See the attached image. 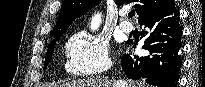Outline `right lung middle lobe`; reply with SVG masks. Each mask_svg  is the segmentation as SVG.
I'll list each match as a JSON object with an SVG mask.
<instances>
[{
	"label": "right lung middle lobe",
	"mask_w": 205,
	"mask_h": 87,
	"mask_svg": "<svg viewBox=\"0 0 205 87\" xmlns=\"http://www.w3.org/2000/svg\"><path fill=\"white\" fill-rule=\"evenodd\" d=\"M57 38H59V37H57ZM55 43H56V40H53L52 44L48 47V50H47V53H46L45 62H44V70L46 69L47 65L49 64V62H50V60L52 58V54H53L54 48H55Z\"/></svg>",
	"instance_id": "dd1d6c3e"
}]
</instances>
